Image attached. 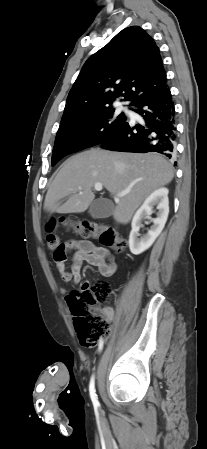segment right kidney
Segmentation results:
<instances>
[{
    "label": "right kidney",
    "instance_id": "obj_1",
    "mask_svg": "<svg viewBox=\"0 0 207 449\" xmlns=\"http://www.w3.org/2000/svg\"><path fill=\"white\" fill-rule=\"evenodd\" d=\"M168 189L159 188L151 193L142 206L136 211L132 219V230L129 236V248L131 253L139 255L147 250L162 232L169 214ZM153 206H157L158 212L155 219H151ZM151 219L153 225L147 234L139 238V229L144 219Z\"/></svg>",
    "mask_w": 207,
    "mask_h": 449
}]
</instances>
